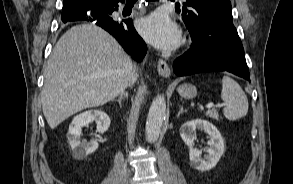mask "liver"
<instances>
[{
    "label": "liver",
    "instance_id": "6515ba94",
    "mask_svg": "<svg viewBox=\"0 0 293 184\" xmlns=\"http://www.w3.org/2000/svg\"><path fill=\"white\" fill-rule=\"evenodd\" d=\"M134 76L131 58L109 33L94 24L72 27L59 39L44 68L40 96L49 127L115 99Z\"/></svg>",
    "mask_w": 293,
    "mask_h": 184
}]
</instances>
